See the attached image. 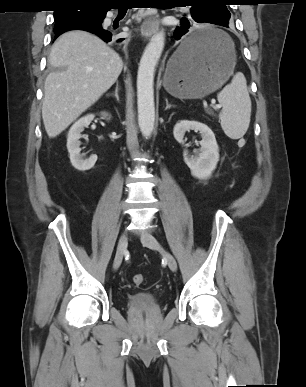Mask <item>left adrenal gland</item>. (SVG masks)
<instances>
[{
	"label": "left adrenal gland",
	"mask_w": 306,
	"mask_h": 387,
	"mask_svg": "<svg viewBox=\"0 0 306 387\" xmlns=\"http://www.w3.org/2000/svg\"><path fill=\"white\" fill-rule=\"evenodd\" d=\"M165 101H166V108H165V110L170 109V108H175V107H176V105H171V104H169L167 98L165 99Z\"/></svg>",
	"instance_id": "1"
}]
</instances>
